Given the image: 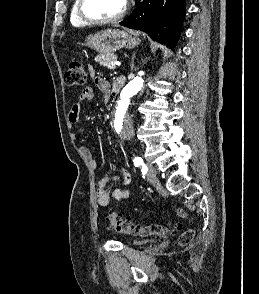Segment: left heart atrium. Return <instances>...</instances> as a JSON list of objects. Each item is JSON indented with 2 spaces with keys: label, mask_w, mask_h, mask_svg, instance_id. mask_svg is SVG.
<instances>
[{
  "label": "left heart atrium",
  "mask_w": 259,
  "mask_h": 294,
  "mask_svg": "<svg viewBox=\"0 0 259 294\" xmlns=\"http://www.w3.org/2000/svg\"><path fill=\"white\" fill-rule=\"evenodd\" d=\"M123 1H124V3H126L127 0H123Z\"/></svg>",
  "instance_id": "left-heart-atrium-1"
}]
</instances>
